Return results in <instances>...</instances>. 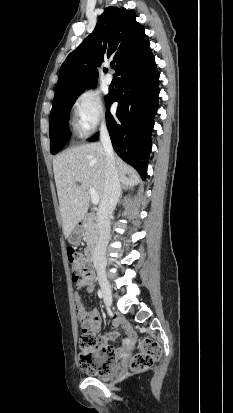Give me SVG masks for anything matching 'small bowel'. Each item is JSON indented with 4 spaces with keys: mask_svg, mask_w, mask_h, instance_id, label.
I'll return each instance as SVG.
<instances>
[{
    "mask_svg": "<svg viewBox=\"0 0 233 413\" xmlns=\"http://www.w3.org/2000/svg\"><path fill=\"white\" fill-rule=\"evenodd\" d=\"M79 290H85L88 293L94 290V278L91 275L89 278L81 280L77 284ZM74 300L76 302L77 317L82 327L83 333L97 334L102 326V316L97 309L87 310L84 306L80 294H74ZM123 329L126 332H130L129 324L121 317H114L113 330L98 337L100 348H111L109 342L118 336V329ZM115 351V350H114ZM124 349L115 351L116 355L123 354Z\"/></svg>",
    "mask_w": 233,
    "mask_h": 413,
    "instance_id": "1",
    "label": "small bowel"
}]
</instances>
